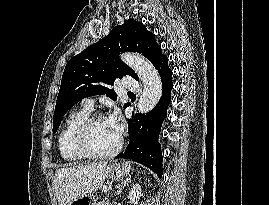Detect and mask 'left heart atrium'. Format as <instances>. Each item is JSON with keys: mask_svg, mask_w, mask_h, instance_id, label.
I'll use <instances>...</instances> for the list:
<instances>
[{"mask_svg": "<svg viewBox=\"0 0 269 205\" xmlns=\"http://www.w3.org/2000/svg\"><path fill=\"white\" fill-rule=\"evenodd\" d=\"M106 120L111 129L116 133V135L120 136L122 132V126L118 113L116 111H113Z\"/></svg>", "mask_w": 269, "mask_h": 205, "instance_id": "left-heart-atrium-1", "label": "left heart atrium"}]
</instances>
